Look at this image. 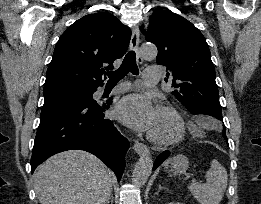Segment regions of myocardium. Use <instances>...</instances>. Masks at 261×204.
Segmentation results:
<instances>
[{
  "label": "myocardium",
  "mask_w": 261,
  "mask_h": 204,
  "mask_svg": "<svg viewBox=\"0 0 261 204\" xmlns=\"http://www.w3.org/2000/svg\"><path fill=\"white\" fill-rule=\"evenodd\" d=\"M157 110L163 111L171 116L175 123V130L171 135L166 137L156 136L149 131L147 133L148 139L151 142L161 146H168L178 142L183 137L185 132V122L182 115L175 107L169 104H161L158 106Z\"/></svg>",
  "instance_id": "f54148a6"
}]
</instances>
